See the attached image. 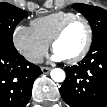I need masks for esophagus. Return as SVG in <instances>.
Instances as JSON below:
<instances>
[{"label":"esophagus","mask_w":107,"mask_h":107,"mask_svg":"<svg viewBox=\"0 0 107 107\" xmlns=\"http://www.w3.org/2000/svg\"><path fill=\"white\" fill-rule=\"evenodd\" d=\"M41 70H42L43 74H48L50 72L51 68L50 67H41Z\"/></svg>","instance_id":"esophagus-1"}]
</instances>
